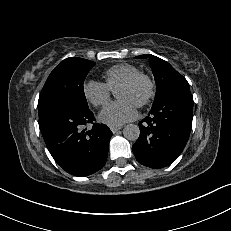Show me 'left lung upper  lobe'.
<instances>
[{"label":"left lung upper lobe","mask_w":231,"mask_h":231,"mask_svg":"<svg viewBox=\"0 0 231 231\" xmlns=\"http://www.w3.org/2000/svg\"><path fill=\"white\" fill-rule=\"evenodd\" d=\"M136 58H148L157 85L154 103L166 94L180 89H189L187 80L179 74L168 62L154 55L145 54Z\"/></svg>","instance_id":"5c2ea615"}]
</instances>
